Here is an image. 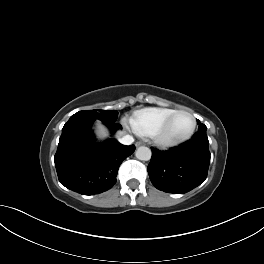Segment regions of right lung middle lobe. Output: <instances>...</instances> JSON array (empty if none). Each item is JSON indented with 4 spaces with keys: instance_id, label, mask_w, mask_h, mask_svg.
<instances>
[{
    "instance_id": "dd1d6c3e",
    "label": "right lung middle lobe",
    "mask_w": 264,
    "mask_h": 264,
    "mask_svg": "<svg viewBox=\"0 0 264 264\" xmlns=\"http://www.w3.org/2000/svg\"><path fill=\"white\" fill-rule=\"evenodd\" d=\"M118 112L115 110H83L75 113L71 118L84 117L92 120L99 119L105 123H113L116 121Z\"/></svg>"
}]
</instances>
